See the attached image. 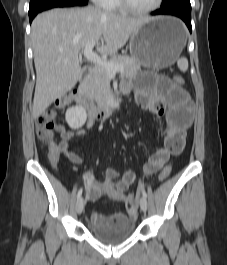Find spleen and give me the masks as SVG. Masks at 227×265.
<instances>
[{
  "label": "spleen",
  "mask_w": 227,
  "mask_h": 265,
  "mask_svg": "<svg viewBox=\"0 0 227 265\" xmlns=\"http://www.w3.org/2000/svg\"><path fill=\"white\" fill-rule=\"evenodd\" d=\"M177 65L182 72H186L188 69V60L185 57H182L177 61Z\"/></svg>",
  "instance_id": "3e777b00"
}]
</instances>
